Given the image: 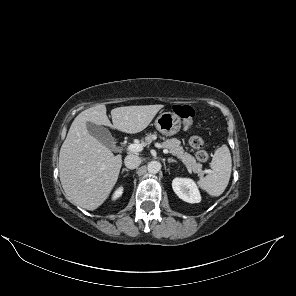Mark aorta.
<instances>
[{
  "instance_id": "aorta-1",
  "label": "aorta",
  "mask_w": 296,
  "mask_h": 296,
  "mask_svg": "<svg viewBox=\"0 0 296 296\" xmlns=\"http://www.w3.org/2000/svg\"><path fill=\"white\" fill-rule=\"evenodd\" d=\"M161 169V163L158 161H151L147 165V170L151 174H156L160 171Z\"/></svg>"
}]
</instances>
